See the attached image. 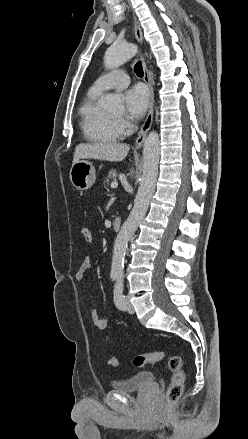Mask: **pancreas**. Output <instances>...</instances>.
<instances>
[{"label": "pancreas", "mask_w": 248, "mask_h": 439, "mask_svg": "<svg viewBox=\"0 0 248 439\" xmlns=\"http://www.w3.org/2000/svg\"><path fill=\"white\" fill-rule=\"evenodd\" d=\"M116 178H117V172H116V170L111 169V170L108 172V175L106 176L104 183H107V184H108L110 180H116Z\"/></svg>", "instance_id": "obj_1"}]
</instances>
